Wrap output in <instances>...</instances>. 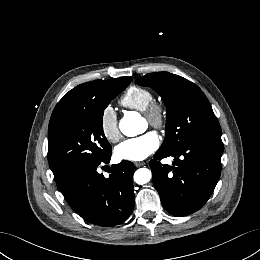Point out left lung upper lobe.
<instances>
[{
	"instance_id": "obj_1",
	"label": "left lung upper lobe",
	"mask_w": 260,
	"mask_h": 260,
	"mask_svg": "<svg viewBox=\"0 0 260 260\" xmlns=\"http://www.w3.org/2000/svg\"><path fill=\"white\" fill-rule=\"evenodd\" d=\"M136 82L154 89L166 105V134L161 150H173L193 140L221 138V128L208 99L191 81L168 72H155Z\"/></svg>"
}]
</instances>
